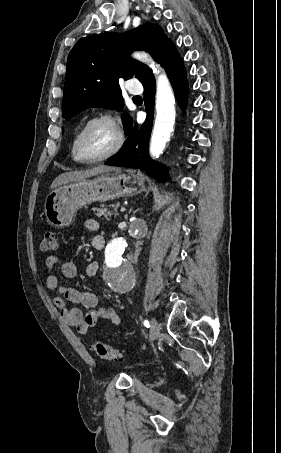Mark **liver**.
I'll return each instance as SVG.
<instances>
[{
  "mask_svg": "<svg viewBox=\"0 0 281 453\" xmlns=\"http://www.w3.org/2000/svg\"><path fill=\"white\" fill-rule=\"evenodd\" d=\"M110 170H118L116 166H105V164H100V166H94V168H89V170H72V172H62L59 176L54 178L50 188H56L60 184H67L71 180H84V178H89V176H96V174H101V172H110Z\"/></svg>",
  "mask_w": 281,
  "mask_h": 453,
  "instance_id": "6515ba94",
  "label": "liver"
}]
</instances>
